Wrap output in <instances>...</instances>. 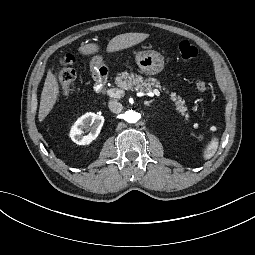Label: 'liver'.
Segmentation results:
<instances>
[{"mask_svg":"<svg viewBox=\"0 0 255 255\" xmlns=\"http://www.w3.org/2000/svg\"><path fill=\"white\" fill-rule=\"evenodd\" d=\"M149 34L146 33H125L112 38L107 45V52H116L134 46L146 38ZM99 46L95 43H89L79 47L78 51L83 55H90L98 52ZM59 94V86L55 75L48 71L45 79L44 87L41 93L39 107V121H43L53 108L57 96Z\"/></svg>","mask_w":255,"mask_h":255,"instance_id":"6515ba94","label":"liver"}]
</instances>
